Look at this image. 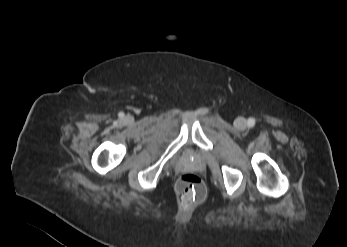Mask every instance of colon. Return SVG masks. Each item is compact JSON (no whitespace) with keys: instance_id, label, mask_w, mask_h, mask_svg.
I'll list each match as a JSON object with an SVG mask.
<instances>
[{"instance_id":"5ec220e1","label":"colon","mask_w":347,"mask_h":247,"mask_svg":"<svg viewBox=\"0 0 347 247\" xmlns=\"http://www.w3.org/2000/svg\"><path fill=\"white\" fill-rule=\"evenodd\" d=\"M176 191L184 202H200L206 194L201 179L193 173H187L180 177L176 184Z\"/></svg>"}]
</instances>
